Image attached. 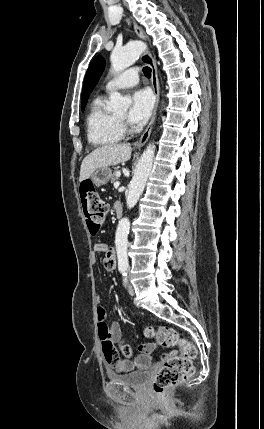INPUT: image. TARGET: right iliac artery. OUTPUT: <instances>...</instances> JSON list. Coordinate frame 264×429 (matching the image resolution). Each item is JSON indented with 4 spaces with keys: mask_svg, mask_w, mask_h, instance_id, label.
<instances>
[{
    "mask_svg": "<svg viewBox=\"0 0 264 429\" xmlns=\"http://www.w3.org/2000/svg\"><path fill=\"white\" fill-rule=\"evenodd\" d=\"M120 272L124 273V272H125V269H120Z\"/></svg>",
    "mask_w": 264,
    "mask_h": 429,
    "instance_id": "obj_1",
    "label": "right iliac artery"
}]
</instances>
